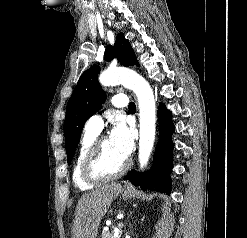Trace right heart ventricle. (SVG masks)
Here are the masks:
<instances>
[{"label":"right heart ventricle","mask_w":247,"mask_h":238,"mask_svg":"<svg viewBox=\"0 0 247 238\" xmlns=\"http://www.w3.org/2000/svg\"><path fill=\"white\" fill-rule=\"evenodd\" d=\"M97 136H98L97 132L85 130L80 143L79 150L75 158L73 171H72V180L74 185L78 189L83 191L89 190L96 185V183H89L86 180H84L81 174V166L89 148L91 147Z\"/></svg>","instance_id":"1"}]
</instances>
